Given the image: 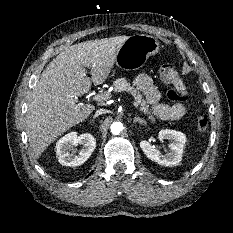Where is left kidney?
Returning <instances> with one entry per match:
<instances>
[{
	"instance_id": "5707ae66",
	"label": "left kidney",
	"mask_w": 233,
	"mask_h": 233,
	"mask_svg": "<svg viewBox=\"0 0 233 233\" xmlns=\"http://www.w3.org/2000/svg\"><path fill=\"white\" fill-rule=\"evenodd\" d=\"M160 140H170V151L167 154H162L150 142L142 140L140 147L144 154L152 161L164 165L175 166L182 160L183 149L186 143V136L182 132L176 130H161L158 134Z\"/></svg>"
}]
</instances>
